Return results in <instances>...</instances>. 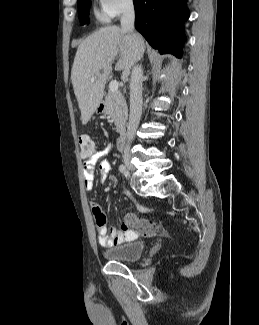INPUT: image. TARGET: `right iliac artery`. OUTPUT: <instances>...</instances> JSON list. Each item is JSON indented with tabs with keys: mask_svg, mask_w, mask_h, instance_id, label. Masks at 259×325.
Wrapping results in <instances>:
<instances>
[{
	"mask_svg": "<svg viewBox=\"0 0 259 325\" xmlns=\"http://www.w3.org/2000/svg\"><path fill=\"white\" fill-rule=\"evenodd\" d=\"M124 169H126V166L125 165L122 164V165L119 166L120 172H122V170H124Z\"/></svg>",
	"mask_w": 259,
	"mask_h": 325,
	"instance_id": "1",
	"label": "right iliac artery"
}]
</instances>
